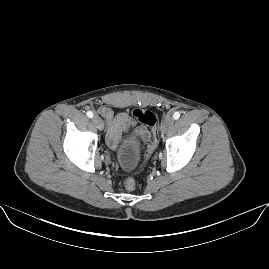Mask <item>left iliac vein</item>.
I'll use <instances>...</instances> for the list:
<instances>
[{
	"instance_id": "1",
	"label": "left iliac vein",
	"mask_w": 269,
	"mask_h": 269,
	"mask_svg": "<svg viewBox=\"0 0 269 269\" xmlns=\"http://www.w3.org/2000/svg\"><path fill=\"white\" fill-rule=\"evenodd\" d=\"M174 125V119L172 117H167L161 124V133H166Z\"/></svg>"
}]
</instances>
